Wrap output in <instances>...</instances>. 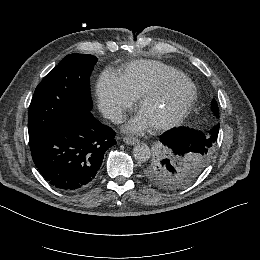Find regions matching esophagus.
<instances>
[{
    "instance_id": "esophagus-1",
    "label": "esophagus",
    "mask_w": 260,
    "mask_h": 260,
    "mask_svg": "<svg viewBox=\"0 0 260 260\" xmlns=\"http://www.w3.org/2000/svg\"><path fill=\"white\" fill-rule=\"evenodd\" d=\"M123 142L128 144V145H134L139 142L137 138L134 137H124Z\"/></svg>"
}]
</instances>
